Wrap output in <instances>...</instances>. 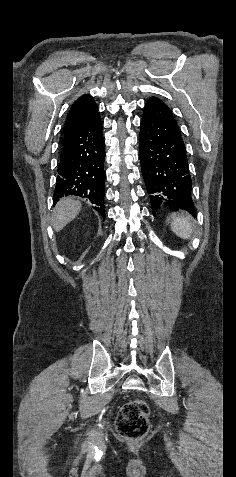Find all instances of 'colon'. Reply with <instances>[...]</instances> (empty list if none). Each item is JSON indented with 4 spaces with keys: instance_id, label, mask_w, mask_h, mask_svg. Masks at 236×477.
<instances>
[{
    "instance_id": "1",
    "label": "colon",
    "mask_w": 236,
    "mask_h": 477,
    "mask_svg": "<svg viewBox=\"0 0 236 477\" xmlns=\"http://www.w3.org/2000/svg\"><path fill=\"white\" fill-rule=\"evenodd\" d=\"M149 408L140 399L127 402L116 418L117 433L126 440H140L149 431Z\"/></svg>"
}]
</instances>
